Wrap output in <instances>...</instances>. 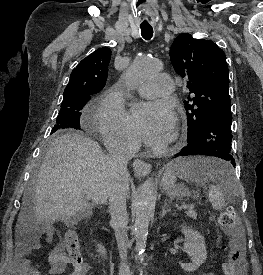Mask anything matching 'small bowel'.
<instances>
[{
    "label": "small bowel",
    "mask_w": 263,
    "mask_h": 275,
    "mask_svg": "<svg viewBox=\"0 0 263 275\" xmlns=\"http://www.w3.org/2000/svg\"><path fill=\"white\" fill-rule=\"evenodd\" d=\"M52 235L53 232L51 230L46 231L48 241L51 240ZM38 248L39 243L36 240L22 246V255L20 260L21 275H42L38 267L32 265L30 260L25 257V255ZM48 262L50 264L48 274L50 275H58L64 273L68 265H72L69 257L64 253V249L61 245H56L51 250L48 256ZM72 266L73 271L70 272L69 275H86L88 270V266L86 264H83L81 266ZM208 275L215 274L209 273Z\"/></svg>",
    "instance_id": "obj_1"
}]
</instances>
